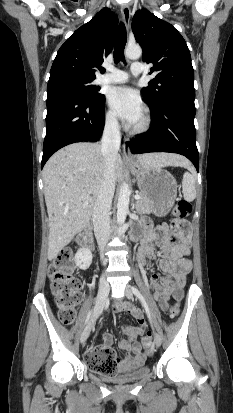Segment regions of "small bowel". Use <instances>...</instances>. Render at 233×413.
<instances>
[{"mask_svg":"<svg viewBox=\"0 0 233 413\" xmlns=\"http://www.w3.org/2000/svg\"><path fill=\"white\" fill-rule=\"evenodd\" d=\"M145 235L138 251L141 264L151 266V262L161 257L159 267L166 275L162 276L153 272L150 277L151 287L154 289V299L159 308L166 311L169 307L171 296L178 302L182 297V288L186 277L191 270V261L187 257L190 253L191 231L189 224L177 220L173 224H162L151 228L149 222L144 223ZM117 312H127L138 322V326H125L123 332L128 339L119 342V347L126 350L123 358L116 357L118 369L142 364L146 358V350L139 338L144 334L147 324L140 309L129 302L119 301L115 304ZM113 335L104 333L102 344L90 346L85 353V358L94 356L102 348L111 349Z\"/></svg>","mask_w":233,"mask_h":413,"instance_id":"1","label":"small bowel"}]
</instances>
